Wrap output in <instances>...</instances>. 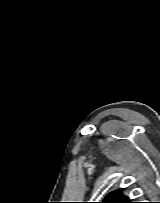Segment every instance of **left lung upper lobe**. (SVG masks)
I'll use <instances>...</instances> for the list:
<instances>
[{
  "label": "left lung upper lobe",
  "instance_id": "obj_1",
  "mask_svg": "<svg viewBox=\"0 0 160 203\" xmlns=\"http://www.w3.org/2000/svg\"><path fill=\"white\" fill-rule=\"evenodd\" d=\"M99 203H132L131 200L125 197L120 191L116 190L109 193L103 201Z\"/></svg>",
  "mask_w": 160,
  "mask_h": 203
}]
</instances>
